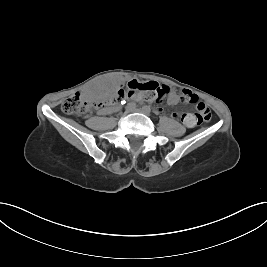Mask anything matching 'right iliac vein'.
<instances>
[{"label":"right iliac vein","mask_w":267,"mask_h":267,"mask_svg":"<svg viewBox=\"0 0 267 267\" xmlns=\"http://www.w3.org/2000/svg\"><path fill=\"white\" fill-rule=\"evenodd\" d=\"M129 114V111H126V112H124L123 114H122V116H126V115H128Z\"/></svg>","instance_id":"63e3f726"}]
</instances>
